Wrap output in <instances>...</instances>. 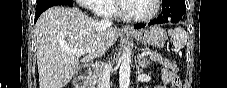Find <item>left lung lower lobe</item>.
Instances as JSON below:
<instances>
[{
  "label": "left lung lower lobe",
  "instance_id": "1",
  "mask_svg": "<svg viewBox=\"0 0 227 88\" xmlns=\"http://www.w3.org/2000/svg\"><path fill=\"white\" fill-rule=\"evenodd\" d=\"M162 13L161 15L150 21L148 25L161 24V23H177L182 16L186 13L185 0H162ZM146 24L135 25L136 29L144 27Z\"/></svg>",
  "mask_w": 227,
  "mask_h": 88
}]
</instances>
